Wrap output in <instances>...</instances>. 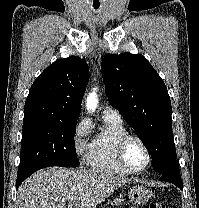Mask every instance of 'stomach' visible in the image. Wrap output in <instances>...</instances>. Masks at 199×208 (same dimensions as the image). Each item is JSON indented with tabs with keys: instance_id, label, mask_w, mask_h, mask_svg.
I'll list each match as a JSON object with an SVG mask.
<instances>
[{
	"instance_id": "0dacf381",
	"label": "stomach",
	"mask_w": 199,
	"mask_h": 208,
	"mask_svg": "<svg viewBox=\"0 0 199 208\" xmlns=\"http://www.w3.org/2000/svg\"><path fill=\"white\" fill-rule=\"evenodd\" d=\"M127 196L130 203L141 205L148 201L150 194L148 189L143 185H134L130 187ZM111 204L115 206H123L125 204L123 195L114 198Z\"/></svg>"
}]
</instances>
